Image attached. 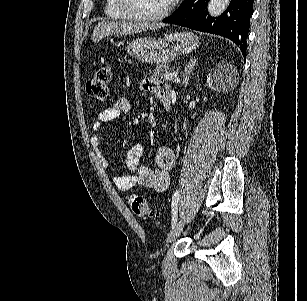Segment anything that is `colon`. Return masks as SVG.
Segmentation results:
<instances>
[{
  "label": "colon",
  "instance_id": "1",
  "mask_svg": "<svg viewBox=\"0 0 307 301\" xmlns=\"http://www.w3.org/2000/svg\"><path fill=\"white\" fill-rule=\"evenodd\" d=\"M111 70L108 66L99 68L86 83V92L96 101H104L108 97ZM128 202L133 213L142 219H149L154 212L147 200L139 194H131Z\"/></svg>",
  "mask_w": 307,
  "mask_h": 301
}]
</instances>
